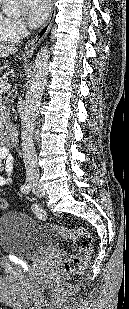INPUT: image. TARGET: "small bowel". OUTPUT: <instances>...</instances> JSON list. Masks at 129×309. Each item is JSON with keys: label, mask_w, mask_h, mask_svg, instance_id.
Instances as JSON below:
<instances>
[{"label": "small bowel", "mask_w": 129, "mask_h": 309, "mask_svg": "<svg viewBox=\"0 0 129 309\" xmlns=\"http://www.w3.org/2000/svg\"><path fill=\"white\" fill-rule=\"evenodd\" d=\"M13 173V156L8 148L0 146V187L12 183Z\"/></svg>", "instance_id": "small-bowel-1"}]
</instances>
